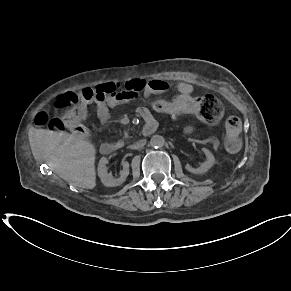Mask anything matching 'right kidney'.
Masks as SVG:
<instances>
[{
    "label": "right kidney",
    "instance_id": "ca27d5eb",
    "mask_svg": "<svg viewBox=\"0 0 291 291\" xmlns=\"http://www.w3.org/2000/svg\"><path fill=\"white\" fill-rule=\"evenodd\" d=\"M108 159L102 157L98 164V175L101 179V182L106 187H115L119 186L126 181L127 176L129 175V163L123 162V170L120 172L119 178H114L112 174L108 173L107 165Z\"/></svg>",
    "mask_w": 291,
    "mask_h": 291
}]
</instances>
